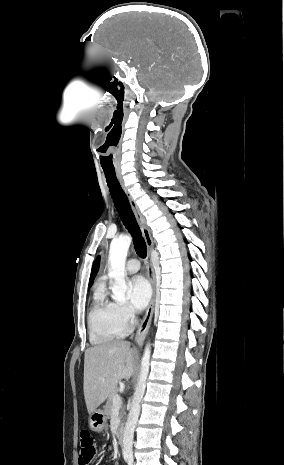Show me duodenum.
Here are the masks:
<instances>
[{"label":"duodenum","instance_id":"duodenum-1","mask_svg":"<svg viewBox=\"0 0 284 465\" xmlns=\"http://www.w3.org/2000/svg\"><path fill=\"white\" fill-rule=\"evenodd\" d=\"M115 437L118 443H122L123 438H124V429L123 428L117 429Z\"/></svg>","mask_w":284,"mask_h":465}]
</instances>
